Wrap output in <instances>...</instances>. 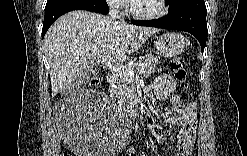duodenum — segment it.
<instances>
[{"instance_id": "1", "label": "duodenum", "mask_w": 247, "mask_h": 156, "mask_svg": "<svg viewBox=\"0 0 247 156\" xmlns=\"http://www.w3.org/2000/svg\"><path fill=\"white\" fill-rule=\"evenodd\" d=\"M107 78L109 80H113L112 75H108ZM127 110L134 119L140 120L142 118V112L140 111V108L138 106V99L136 96L128 99Z\"/></svg>"}]
</instances>
